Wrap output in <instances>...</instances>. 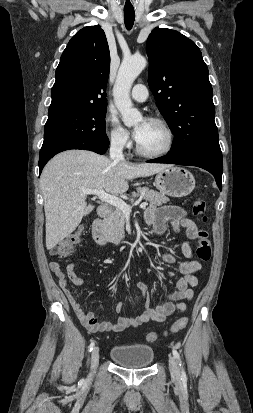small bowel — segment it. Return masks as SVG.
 <instances>
[{"label": "small bowel", "instance_id": "small-bowel-1", "mask_svg": "<svg viewBox=\"0 0 253 413\" xmlns=\"http://www.w3.org/2000/svg\"><path fill=\"white\" fill-rule=\"evenodd\" d=\"M146 222L153 226L155 232L159 235L163 234L168 225L175 232H179L182 228L185 229L188 240L181 244V253L186 258L185 261L179 264V272L181 276L176 281L175 291L169 293L160 305L156 308H151L147 299L148 285L145 282H138L137 288L140 290L142 298L145 301V310L137 317H120L116 322L99 321L93 312H85L76 299L68 285L72 283L75 286H81L83 279L79 277L74 269L75 264L70 262L66 267V273L63 272L60 264L57 261L50 262V270L57 278L58 284L68 299L76 316L82 325L90 332H121L127 328H137L146 323L163 322L167 316L173 312H183L186 309L185 300H191L194 297L193 287L198 284L195 273L201 269V264L192 259V244L196 239L197 226L187 217L184 209L177 206H163L160 208L150 207L145 214ZM163 260L166 263L172 264L175 258L171 254H165ZM122 304L118 303L116 311L120 312Z\"/></svg>", "mask_w": 253, "mask_h": 413}]
</instances>
